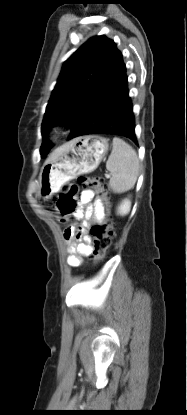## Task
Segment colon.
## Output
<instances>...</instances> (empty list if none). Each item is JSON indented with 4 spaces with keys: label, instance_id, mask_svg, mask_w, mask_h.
<instances>
[{
    "label": "colon",
    "instance_id": "obj_1",
    "mask_svg": "<svg viewBox=\"0 0 187 415\" xmlns=\"http://www.w3.org/2000/svg\"><path fill=\"white\" fill-rule=\"evenodd\" d=\"M78 182L83 187L92 189L102 197H106V189L99 178L80 177ZM78 192L77 185L69 186L60 194L57 208L61 219L71 216L77 209L78 203L76 195ZM115 223L111 220H105L91 227L90 233L93 237V260L95 263L101 262L107 255L108 249L114 236Z\"/></svg>",
    "mask_w": 187,
    "mask_h": 415
}]
</instances>
